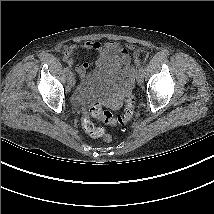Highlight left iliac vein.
Returning <instances> with one entry per match:
<instances>
[{
    "mask_svg": "<svg viewBox=\"0 0 214 214\" xmlns=\"http://www.w3.org/2000/svg\"><path fill=\"white\" fill-rule=\"evenodd\" d=\"M135 79L138 83H141L142 82V74L141 72H138L136 75H135Z\"/></svg>",
    "mask_w": 214,
    "mask_h": 214,
    "instance_id": "4c4485c4",
    "label": "left iliac vein"
}]
</instances>
